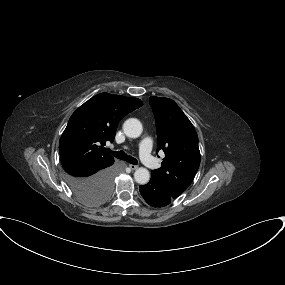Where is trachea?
Masks as SVG:
<instances>
[{"instance_id":"trachea-1","label":"trachea","mask_w":285,"mask_h":285,"mask_svg":"<svg viewBox=\"0 0 285 285\" xmlns=\"http://www.w3.org/2000/svg\"><path fill=\"white\" fill-rule=\"evenodd\" d=\"M111 154L120 159V160H125L126 162L130 163V164H133V165H137L138 161L137 159L133 158L132 156L130 155H127L124 151H111Z\"/></svg>"}]
</instances>
